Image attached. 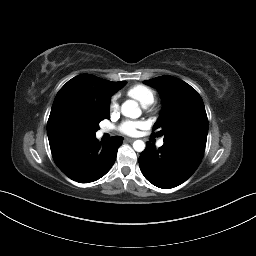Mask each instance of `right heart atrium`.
<instances>
[{
  "instance_id": "d8ad5b80",
  "label": "right heart atrium",
  "mask_w": 256,
  "mask_h": 256,
  "mask_svg": "<svg viewBox=\"0 0 256 256\" xmlns=\"http://www.w3.org/2000/svg\"><path fill=\"white\" fill-rule=\"evenodd\" d=\"M118 102H117V99L116 97H112L110 102H109V110L111 112H116L118 110Z\"/></svg>"
}]
</instances>
